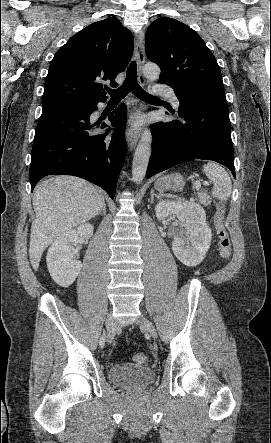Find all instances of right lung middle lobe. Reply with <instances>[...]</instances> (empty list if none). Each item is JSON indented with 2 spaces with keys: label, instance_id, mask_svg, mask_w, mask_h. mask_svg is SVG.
<instances>
[{
  "label": "right lung middle lobe",
  "instance_id": "1",
  "mask_svg": "<svg viewBox=\"0 0 271 443\" xmlns=\"http://www.w3.org/2000/svg\"><path fill=\"white\" fill-rule=\"evenodd\" d=\"M75 104H80V103H77V102L46 103V104H42V111H46V110H50V109H54V108H58V107H62V106L75 105Z\"/></svg>",
  "mask_w": 271,
  "mask_h": 443
}]
</instances>
